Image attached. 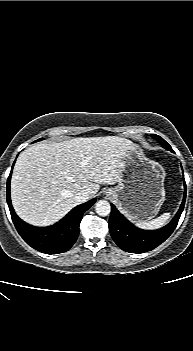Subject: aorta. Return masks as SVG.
Returning <instances> with one entry per match:
<instances>
[{
    "label": "aorta",
    "mask_w": 193,
    "mask_h": 351,
    "mask_svg": "<svg viewBox=\"0 0 193 351\" xmlns=\"http://www.w3.org/2000/svg\"><path fill=\"white\" fill-rule=\"evenodd\" d=\"M95 211L100 216H107L111 211L110 203L106 200H99L95 204Z\"/></svg>",
    "instance_id": "1"
}]
</instances>
